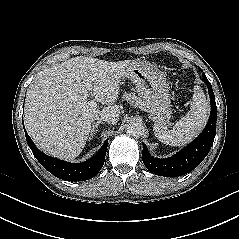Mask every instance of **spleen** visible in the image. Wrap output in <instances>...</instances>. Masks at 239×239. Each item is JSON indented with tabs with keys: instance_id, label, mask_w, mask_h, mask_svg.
<instances>
[{
	"instance_id": "1",
	"label": "spleen",
	"mask_w": 239,
	"mask_h": 239,
	"mask_svg": "<svg viewBox=\"0 0 239 239\" xmlns=\"http://www.w3.org/2000/svg\"><path fill=\"white\" fill-rule=\"evenodd\" d=\"M209 116V104L202 90L197 86L188 113L176 122L173 129L154 126L159 141L170 146H183L196 137L204 128Z\"/></svg>"
}]
</instances>
